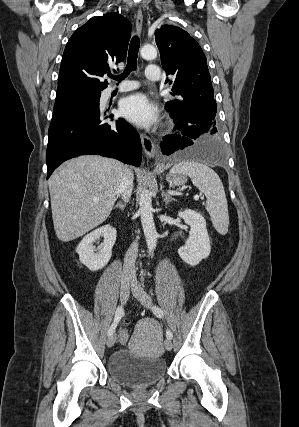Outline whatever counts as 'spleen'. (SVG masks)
Instances as JSON below:
<instances>
[{
  "mask_svg": "<svg viewBox=\"0 0 299 427\" xmlns=\"http://www.w3.org/2000/svg\"><path fill=\"white\" fill-rule=\"evenodd\" d=\"M170 173L183 174L190 177L194 186L207 198L206 210L211 217L216 231L225 235L228 232L229 214L226 194L221 179L206 164L189 160L175 164Z\"/></svg>",
  "mask_w": 299,
  "mask_h": 427,
  "instance_id": "3e777b00",
  "label": "spleen"
}]
</instances>
